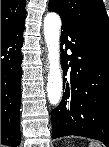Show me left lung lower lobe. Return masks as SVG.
Listing matches in <instances>:
<instances>
[{"instance_id": "0a47b994", "label": "left lung lower lobe", "mask_w": 109, "mask_h": 147, "mask_svg": "<svg viewBox=\"0 0 109 147\" xmlns=\"http://www.w3.org/2000/svg\"><path fill=\"white\" fill-rule=\"evenodd\" d=\"M61 50L63 73L70 78H64L62 101L52 110V137L77 135L109 146V42L62 21ZM75 75L79 90L71 84Z\"/></svg>"}]
</instances>
